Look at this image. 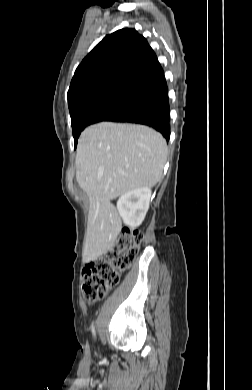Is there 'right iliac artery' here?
<instances>
[{
    "label": "right iliac artery",
    "mask_w": 252,
    "mask_h": 390,
    "mask_svg": "<svg viewBox=\"0 0 252 390\" xmlns=\"http://www.w3.org/2000/svg\"><path fill=\"white\" fill-rule=\"evenodd\" d=\"M92 332H93V334L95 335V329H94V326H92Z\"/></svg>",
    "instance_id": "right-iliac-artery-1"
}]
</instances>
